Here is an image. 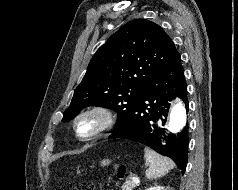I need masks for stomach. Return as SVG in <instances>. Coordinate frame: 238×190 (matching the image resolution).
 <instances>
[{
  "mask_svg": "<svg viewBox=\"0 0 238 190\" xmlns=\"http://www.w3.org/2000/svg\"><path fill=\"white\" fill-rule=\"evenodd\" d=\"M110 164V160L109 159H103L102 161H101V165H103V166H107V165H109Z\"/></svg>",
  "mask_w": 238,
  "mask_h": 190,
  "instance_id": "1",
  "label": "stomach"
}]
</instances>
